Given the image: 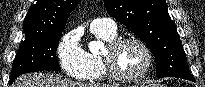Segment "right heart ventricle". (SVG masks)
<instances>
[{
	"mask_svg": "<svg viewBox=\"0 0 205 87\" xmlns=\"http://www.w3.org/2000/svg\"><path fill=\"white\" fill-rule=\"evenodd\" d=\"M96 37L103 40L106 43H110L116 39L115 33H107L101 31H91ZM87 72L79 79L86 82H100L109 80V76L105 70L104 64L101 60V56L95 53H87Z\"/></svg>",
	"mask_w": 205,
	"mask_h": 87,
	"instance_id": "obj_1",
	"label": "right heart ventricle"
}]
</instances>
